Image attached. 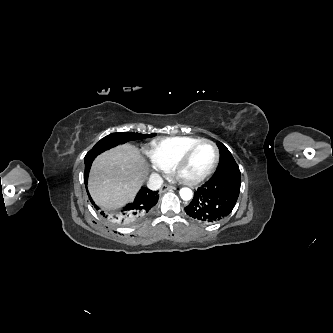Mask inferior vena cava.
<instances>
[{"mask_svg":"<svg viewBox=\"0 0 333 333\" xmlns=\"http://www.w3.org/2000/svg\"><path fill=\"white\" fill-rule=\"evenodd\" d=\"M163 184V179L159 174H151L148 180V188L150 190H158Z\"/></svg>","mask_w":333,"mask_h":333,"instance_id":"1","label":"inferior vena cava"}]
</instances>
